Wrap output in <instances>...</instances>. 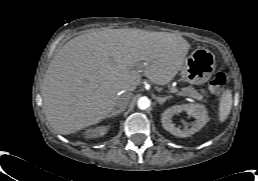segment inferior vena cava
Wrapping results in <instances>:
<instances>
[{
	"instance_id": "inferior-vena-cava-1",
	"label": "inferior vena cava",
	"mask_w": 258,
	"mask_h": 181,
	"mask_svg": "<svg viewBox=\"0 0 258 181\" xmlns=\"http://www.w3.org/2000/svg\"><path fill=\"white\" fill-rule=\"evenodd\" d=\"M131 96H132L131 93H124L120 95L115 102V106L119 108V110H124L128 105V102L130 101Z\"/></svg>"
}]
</instances>
